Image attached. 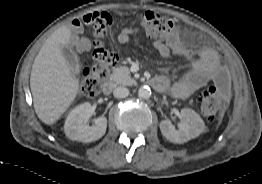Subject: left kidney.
<instances>
[{"instance_id":"left-kidney-1","label":"left kidney","mask_w":262,"mask_h":184,"mask_svg":"<svg viewBox=\"0 0 262 184\" xmlns=\"http://www.w3.org/2000/svg\"><path fill=\"white\" fill-rule=\"evenodd\" d=\"M180 118L178 129L174 127L171 121L163 120L160 122L161 133L170 142L181 144L198 137L205 131L204 121L194 110L183 108Z\"/></svg>"}]
</instances>
